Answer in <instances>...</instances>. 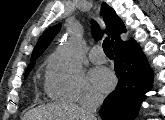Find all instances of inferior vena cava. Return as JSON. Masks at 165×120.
Instances as JSON below:
<instances>
[{"label": "inferior vena cava", "mask_w": 165, "mask_h": 120, "mask_svg": "<svg viewBox=\"0 0 165 120\" xmlns=\"http://www.w3.org/2000/svg\"><path fill=\"white\" fill-rule=\"evenodd\" d=\"M103 100V95L96 92H89L81 104V120H96L95 113Z\"/></svg>", "instance_id": "obj_1"}]
</instances>
